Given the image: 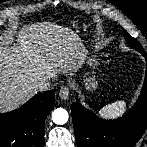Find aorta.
<instances>
[{"instance_id": "aorta-1", "label": "aorta", "mask_w": 147, "mask_h": 147, "mask_svg": "<svg viewBox=\"0 0 147 147\" xmlns=\"http://www.w3.org/2000/svg\"><path fill=\"white\" fill-rule=\"evenodd\" d=\"M52 120L55 124L62 125L68 121V112L63 108H57L52 113Z\"/></svg>"}]
</instances>
